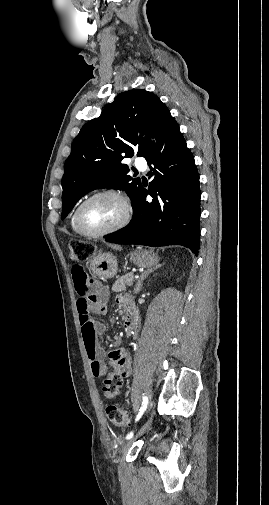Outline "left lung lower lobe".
<instances>
[{"label": "left lung lower lobe", "instance_id": "obj_1", "mask_svg": "<svg viewBox=\"0 0 269 505\" xmlns=\"http://www.w3.org/2000/svg\"><path fill=\"white\" fill-rule=\"evenodd\" d=\"M157 145L144 156L153 180L141 187L129 225L107 242L153 247L182 245L197 255L200 246V186L194 157L170 112L157 126ZM163 148L162 151H160ZM153 197L151 202L146 196Z\"/></svg>", "mask_w": 269, "mask_h": 505}]
</instances>
